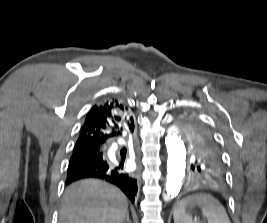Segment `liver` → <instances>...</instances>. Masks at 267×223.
Wrapping results in <instances>:
<instances>
[{
  "instance_id": "liver-1",
  "label": "liver",
  "mask_w": 267,
  "mask_h": 223,
  "mask_svg": "<svg viewBox=\"0 0 267 223\" xmlns=\"http://www.w3.org/2000/svg\"><path fill=\"white\" fill-rule=\"evenodd\" d=\"M127 210V198L118 188L100 180H82L66 189L59 223H122Z\"/></svg>"
}]
</instances>
